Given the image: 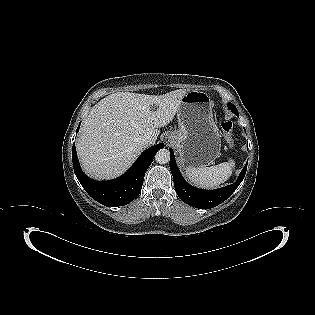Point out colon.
I'll return each mask as SVG.
<instances>
[{
  "label": "colon",
  "instance_id": "5ec220e1",
  "mask_svg": "<svg viewBox=\"0 0 315 315\" xmlns=\"http://www.w3.org/2000/svg\"><path fill=\"white\" fill-rule=\"evenodd\" d=\"M219 125H220L222 132H223L224 139H225L226 143L229 146H233L234 139H233V124H232V122L230 120L220 118L219 119Z\"/></svg>",
  "mask_w": 315,
  "mask_h": 315
}]
</instances>
